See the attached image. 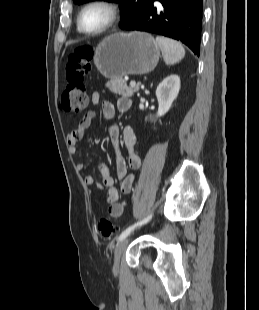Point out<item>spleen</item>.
I'll return each mask as SVG.
<instances>
[{"label": "spleen", "mask_w": 259, "mask_h": 310, "mask_svg": "<svg viewBox=\"0 0 259 310\" xmlns=\"http://www.w3.org/2000/svg\"><path fill=\"white\" fill-rule=\"evenodd\" d=\"M156 42L162 51L166 65H174L185 56L184 47L173 39L157 36Z\"/></svg>", "instance_id": "1"}]
</instances>
